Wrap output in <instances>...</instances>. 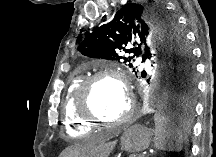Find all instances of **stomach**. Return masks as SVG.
Segmentation results:
<instances>
[{"mask_svg":"<svg viewBox=\"0 0 216 157\" xmlns=\"http://www.w3.org/2000/svg\"><path fill=\"white\" fill-rule=\"evenodd\" d=\"M152 131L141 125H134L123 133L122 144L129 152L146 150L151 143Z\"/></svg>","mask_w":216,"mask_h":157,"instance_id":"obj_1","label":"stomach"}]
</instances>
